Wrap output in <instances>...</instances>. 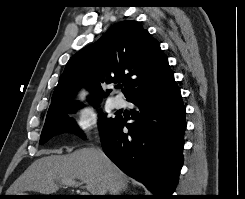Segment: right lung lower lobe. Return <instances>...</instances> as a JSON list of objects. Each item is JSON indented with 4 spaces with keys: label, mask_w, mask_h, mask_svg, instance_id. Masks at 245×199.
<instances>
[{
    "label": "right lung lower lobe",
    "mask_w": 245,
    "mask_h": 199,
    "mask_svg": "<svg viewBox=\"0 0 245 199\" xmlns=\"http://www.w3.org/2000/svg\"><path fill=\"white\" fill-rule=\"evenodd\" d=\"M136 108L132 123L122 117L101 132L105 154L127 175L154 193L173 199L183 165L185 107L177 83L129 100ZM128 128V133L123 128Z\"/></svg>",
    "instance_id": "obj_1"
}]
</instances>
